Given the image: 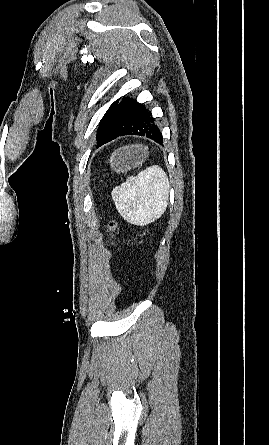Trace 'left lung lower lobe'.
<instances>
[{
  "label": "left lung lower lobe",
  "instance_id": "1",
  "mask_svg": "<svg viewBox=\"0 0 269 445\" xmlns=\"http://www.w3.org/2000/svg\"><path fill=\"white\" fill-rule=\"evenodd\" d=\"M123 135H140L162 144L160 128L151 112L136 100L123 97L97 136V148Z\"/></svg>",
  "mask_w": 269,
  "mask_h": 445
}]
</instances>
